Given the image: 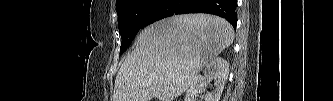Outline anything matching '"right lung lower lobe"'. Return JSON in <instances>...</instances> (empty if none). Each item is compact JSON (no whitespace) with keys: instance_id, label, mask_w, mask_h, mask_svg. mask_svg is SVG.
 I'll list each match as a JSON object with an SVG mask.
<instances>
[{"instance_id":"obj_1","label":"right lung lower lobe","mask_w":333,"mask_h":101,"mask_svg":"<svg viewBox=\"0 0 333 101\" xmlns=\"http://www.w3.org/2000/svg\"><path fill=\"white\" fill-rule=\"evenodd\" d=\"M237 0H161L149 15L146 26L162 18L184 13H210L237 25Z\"/></svg>"}]
</instances>
